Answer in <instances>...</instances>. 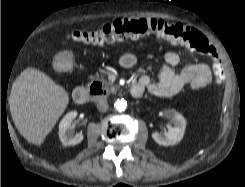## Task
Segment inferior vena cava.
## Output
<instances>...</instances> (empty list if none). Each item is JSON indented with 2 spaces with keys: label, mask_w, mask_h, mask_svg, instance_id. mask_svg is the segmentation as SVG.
<instances>
[{
  "label": "inferior vena cava",
  "mask_w": 245,
  "mask_h": 187,
  "mask_svg": "<svg viewBox=\"0 0 245 187\" xmlns=\"http://www.w3.org/2000/svg\"><path fill=\"white\" fill-rule=\"evenodd\" d=\"M109 108L108 102L106 99H102L97 104V109L99 112H106Z\"/></svg>",
  "instance_id": "obj_1"
}]
</instances>
